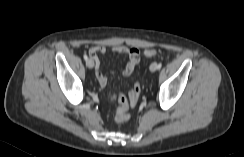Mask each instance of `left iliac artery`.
Segmentation results:
<instances>
[{
    "label": "left iliac artery",
    "mask_w": 244,
    "mask_h": 157,
    "mask_svg": "<svg viewBox=\"0 0 244 157\" xmlns=\"http://www.w3.org/2000/svg\"><path fill=\"white\" fill-rule=\"evenodd\" d=\"M162 63L157 64V69H161Z\"/></svg>",
    "instance_id": "left-iliac-artery-1"
}]
</instances>
